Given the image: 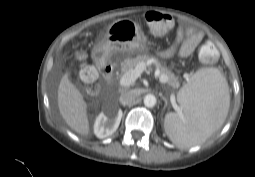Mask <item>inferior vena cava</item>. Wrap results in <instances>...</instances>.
Wrapping results in <instances>:
<instances>
[{"label":"inferior vena cava","mask_w":255,"mask_h":177,"mask_svg":"<svg viewBox=\"0 0 255 177\" xmlns=\"http://www.w3.org/2000/svg\"><path fill=\"white\" fill-rule=\"evenodd\" d=\"M138 96L139 94L136 90H129L122 93L119 100L123 106L130 105L134 103Z\"/></svg>","instance_id":"1"}]
</instances>
